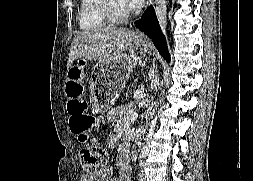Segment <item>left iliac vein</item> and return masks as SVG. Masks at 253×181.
<instances>
[{
  "label": "left iliac vein",
  "mask_w": 253,
  "mask_h": 181,
  "mask_svg": "<svg viewBox=\"0 0 253 181\" xmlns=\"http://www.w3.org/2000/svg\"><path fill=\"white\" fill-rule=\"evenodd\" d=\"M140 181H146V176L144 173H142Z\"/></svg>",
  "instance_id": "obj_1"
}]
</instances>
